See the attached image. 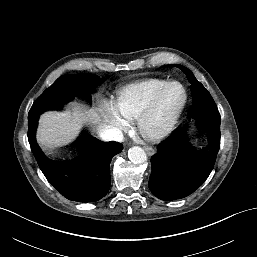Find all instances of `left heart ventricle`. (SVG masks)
Segmentation results:
<instances>
[{"mask_svg":"<svg viewBox=\"0 0 257 257\" xmlns=\"http://www.w3.org/2000/svg\"><path fill=\"white\" fill-rule=\"evenodd\" d=\"M183 98L182 89L177 85H172L163 93L158 107L153 116L148 121L149 129L159 128L168 116L179 106Z\"/></svg>","mask_w":257,"mask_h":257,"instance_id":"1","label":"left heart ventricle"}]
</instances>
